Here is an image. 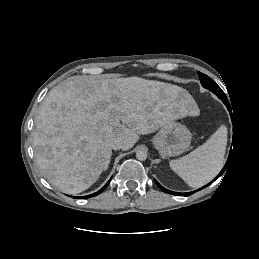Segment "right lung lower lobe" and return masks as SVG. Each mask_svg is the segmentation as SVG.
<instances>
[{
	"label": "right lung lower lobe",
	"mask_w": 259,
	"mask_h": 259,
	"mask_svg": "<svg viewBox=\"0 0 259 259\" xmlns=\"http://www.w3.org/2000/svg\"><path fill=\"white\" fill-rule=\"evenodd\" d=\"M110 181H111V179L104 185V187L102 189H100L98 192H96L94 194H91V195H88V196H84V197H73V198H89V197L96 196V195L100 194L108 186Z\"/></svg>",
	"instance_id": "98d812e1"
}]
</instances>
